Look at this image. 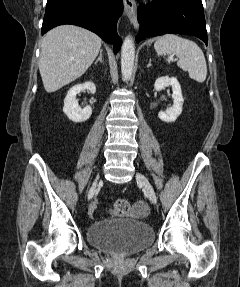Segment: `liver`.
<instances>
[{
    "mask_svg": "<svg viewBox=\"0 0 240 287\" xmlns=\"http://www.w3.org/2000/svg\"><path fill=\"white\" fill-rule=\"evenodd\" d=\"M102 40L74 25L50 30L41 43L39 71L46 92L52 93L81 77L96 59Z\"/></svg>",
    "mask_w": 240,
    "mask_h": 287,
    "instance_id": "1",
    "label": "liver"
}]
</instances>
